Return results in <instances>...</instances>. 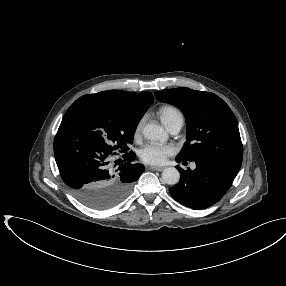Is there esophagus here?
<instances>
[{"label":"esophagus","mask_w":286,"mask_h":286,"mask_svg":"<svg viewBox=\"0 0 286 286\" xmlns=\"http://www.w3.org/2000/svg\"><path fill=\"white\" fill-rule=\"evenodd\" d=\"M165 167H158V166H150L149 170H153V171H162L164 170Z\"/></svg>","instance_id":"esophagus-1"}]
</instances>
